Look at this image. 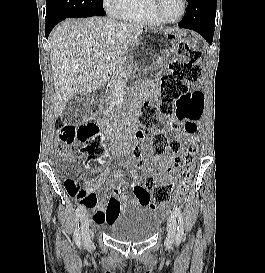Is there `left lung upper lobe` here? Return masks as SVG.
<instances>
[{
    "label": "left lung upper lobe",
    "mask_w": 265,
    "mask_h": 273,
    "mask_svg": "<svg viewBox=\"0 0 265 273\" xmlns=\"http://www.w3.org/2000/svg\"><path fill=\"white\" fill-rule=\"evenodd\" d=\"M186 1L189 3L191 0H186ZM215 16H216V9H210L205 13L203 20L208 24H214Z\"/></svg>",
    "instance_id": "1"
}]
</instances>
